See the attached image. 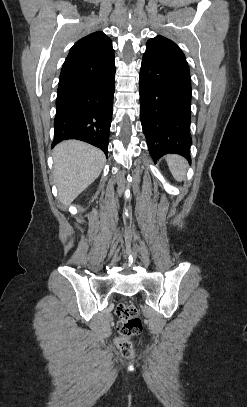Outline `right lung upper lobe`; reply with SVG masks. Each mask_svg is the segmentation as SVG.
<instances>
[{"instance_id": "obj_1", "label": "right lung upper lobe", "mask_w": 247, "mask_h": 407, "mask_svg": "<svg viewBox=\"0 0 247 407\" xmlns=\"http://www.w3.org/2000/svg\"><path fill=\"white\" fill-rule=\"evenodd\" d=\"M114 57L112 42L103 32H93L70 49L63 64L59 85L81 78L86 72Z\"/></svg>"}]
</instances>
